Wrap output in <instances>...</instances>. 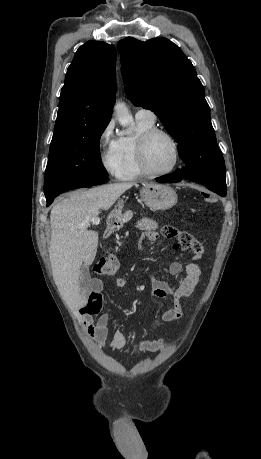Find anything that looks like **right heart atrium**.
Here are the masks:
<instances>
[{
	"label": "right heart atrium",
	"mask_w": 261,
	"mask_h": 459,
	"mask_svg": "<svg viewBox=\"0 0 261 459\" xmlns=\"http://www.w3.org/2000/svg\"><path fill=\"white\" fill-rule=\"evenodd\" d=\"M114 122H108L98 136V151L102 166L113 176H118L120 158L117 150V139L114 134Z\"/></svg>",
	"instance_id": "obj_1"
}]
</instances>
